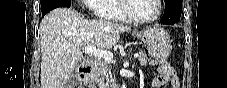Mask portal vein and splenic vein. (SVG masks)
I'll return each instance as SVG.
<instances>
[{"label": "portal vein and splenic vein", "instance_id": "1", "mask_svg": "<svg viewBox=\"0 0 227 88\" xmlns=\"http://www.w3.org/2000/svg\"><path fill=\"white\" fill-rule=\"evenodd\" d=\"M83 51L95 57L102 58L104 59V61L108 63H110L113 59V54L110 51L97 49L96 46L94 45H88L84 47ZM138 57H139V54L135 53L134 58H138Z\"/></svg>", "mask_w": 227, "mask_h": 88}]
</instances>
